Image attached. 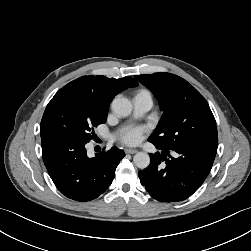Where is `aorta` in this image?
I'll return each mask as SVG.
<instances>
[{"mask_svg":"<svg viewBox=\"0 0 251 251\" xmlns=\"http://www.w3.org/2000/svg\"><path fill=\"white\" fill-rule=\"evenodd\" d=\"M113 113L118 117H127L131 114L132 105L131 102L124 97H117L111 104ZM134 164L140 168L145 169L150 164V156L146 152H138L133 158Z\"/></svg>","mask_w":251,"mask_h":251,"instance_id":"aorta-1","label":"aorta"}]
</instances>
